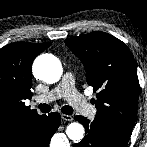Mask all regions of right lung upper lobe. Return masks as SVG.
Here are the masks:
<instances>
[{"label":"right lung upper lobe","instance_id":"right-lung-upper-lobe-1","mask_svg":"<svg viewBox=\"0 0 147 147\" xmlns=\"http://www.w3.org/2000/svg\"><path fill=\"white\" fill-rule=\"evenodd\" d=\"M50 45L17 42L0 49V139L40 116L24 100L32 97L33 60Z\"/></svg>","mask_w":147,"mask_h":147}]
</instances>
